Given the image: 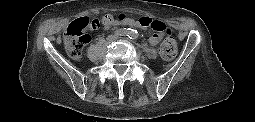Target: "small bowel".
<instances>
[{
  "label": "small bowel",
  "instance_id": "small-bowel-1",
  "mask_svg": "<svg viewBox=\"0 0 255 122\" xmlns=\"http://www.w3.org/2000/svg\"><path fill=\"white\" fill-rule=\"evenodd\" d=\"M118 24L128 25V26H133V27H139L136 19H133V18H129L125 22H118ZM107 29H109V26L104 27V30H107ZM159 41H160V37L157 34H152L148 38V42L151 46H156L159 43Z\"/></svg>",
  "mask_w": 255,
  "mask_h": 122
}]
</instances>
